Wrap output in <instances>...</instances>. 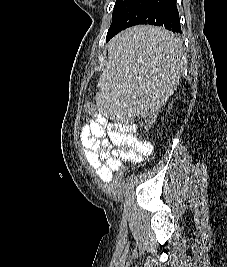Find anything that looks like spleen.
Here are the masks:
<instances>
[{
  "instance_id": "3e777b00",
  "label": "spleen",
  "mask_w": 227,
  "mask_h": 267,
  "mask_svg": "<svg viewBox=\"0 0 227 267\" xmlns=\"http://www.w3.org/2000/svg\"><path fill=\"white\" fill-rule=\"evenodd\" d=\"M106 47L109 63L103 67L99 82L101 93L96 100L102 115H153L157 106L129 104H162L174 92L183 72L181 41L154 22H141L123 29ZM107 125H118V116H105ZM137 121V116H126Z\"/></svg>"
}]
</instances>
